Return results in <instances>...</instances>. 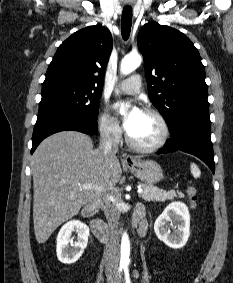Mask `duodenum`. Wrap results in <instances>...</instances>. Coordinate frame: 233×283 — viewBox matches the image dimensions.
I'll return each mask as SVG.
<instances>
[{"label":"duodenum","mask_w":233,"mask_h":283,"mask_svg":"<svg viewBox=\"0 0 233 283\" xmlns=\"http://www.w3.org/2000/svg\"><path fill=\"white\" fill-rule=\"evenodd\" d=\"M100 200L98 198H94L89 204H87L83 210H82V216L85 218H89L93 216V214L96 212L98 206H99ZM90 226L92 228V231L97 236L98 239H100L103 242L108 241L109 239V231L105 224L98 220V219H92L90 221ZM144 231V225H141L140 232L142 233Z\"/></svg>","instance_id":"duodenum-1"}]
</instances>
